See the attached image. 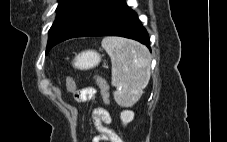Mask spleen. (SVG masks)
I'll list each match as a JSON object with an SVG mask.
<instances>
[{"mask_svg":"<svg viewBox=\"0 0 227 142\" xmlns=\"http://www.w3.org/2000/svg\"><path fill=\"white\" fill-rule=\"evenodd\" d=\"M102 47L111 58L112 85L115 101L121 106H132L141 97L150 80V53L135 41L120 37H106Z\"/></svg>","mask_w":227,"mask_h":142,"instance_id":"3e777b00","label":"spleen"}]
</instances>
